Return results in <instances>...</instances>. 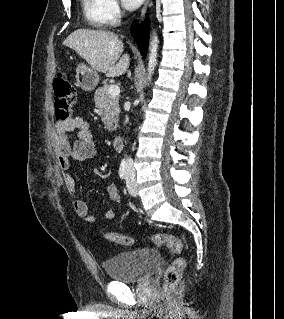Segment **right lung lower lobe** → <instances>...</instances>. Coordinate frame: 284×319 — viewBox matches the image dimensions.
<instances>
[{
    "label": "right lung lower lobe",
    "mask_w": 284,
    "mask_h": 319,
    "mask_svg": "<svg viewBox=\"0 0 284 319\" xmlns=\"http://www.w3.org/2000/svg\"><path fill=\"white\" fill-rule=\"evenodd\" d=\"M150 26L149 21L138 24L135 20L131 26V34L136 40L143 56H146L149 41Z\"/></svg>",
    "instance_id": "98d812e1"
}]
</instances>
